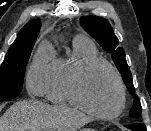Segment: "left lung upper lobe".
<instances>
[{
	"mask_svg": "<svg viewBox=\"0 0 151 131\" xmlns=\"http://www.w3.org/2000/svg\"><path fill=\"white\" fill-rule=\"evenodd\" d=\"M80 24L105 51L111 53V57L122 75L124 83L133 95V107L130 111V116H139L142 112L140 99L135 94L132 75L125 59V52L122 47H118L119 41L110 23L106 19L98 16H82L80 18Z\"/></svg>",
	"mask_w": 151,
	"mask_h": 131,
	"instance_id": "5c2ea615",
	"label": "left lung upper lobe"
}]
</instances>
